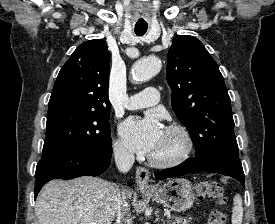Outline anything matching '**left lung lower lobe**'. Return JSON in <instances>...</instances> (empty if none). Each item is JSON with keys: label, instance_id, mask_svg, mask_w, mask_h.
I'll list each match as a JSON object with an SVG mask.
<instances>
[{"label": "left lung lower lobe", "instance_id": "1", "mask_svg": "<svg viewBox=\"0 0 275 224\" xmlns=\"http://www.w3.org/2000/svg\"><path fill=\"white\" fill-rule=\"evenodd\" d=\"M202 170H208L231 176L237 179L244 186V173L239 159L201 160L198 158H192L176 167L164 169L163 171L157 173L156 179L163 180L166 178L179 177L185 175L186 173Z\"/></svg>", "mask_w": 275, "mask_h": 224}]
</instances>
